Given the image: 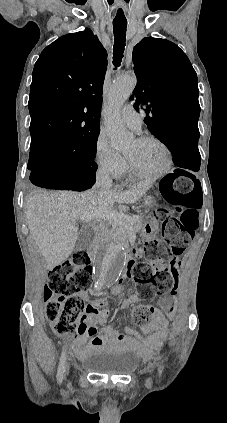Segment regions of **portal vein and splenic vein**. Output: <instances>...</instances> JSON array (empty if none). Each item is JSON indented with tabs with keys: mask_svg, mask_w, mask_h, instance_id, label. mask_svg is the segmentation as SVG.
Returning <instances> with one entry per match:
<instances>
[{
	"mask_svg": "<svg viewBox=\"0 0 227 423\" xmlns=\"http://www.w3.org/2000/svg\"><path fill=\"white\" fill-rule=\"evenodd\" d=\"M94 217H100V219H114V221H119V223H133L135 221L134 217L131 215H125L121 211H98L94 213Z\"/></svg>",
	"mask_w": 227,
	"mask_h": 423,
	"instance_id": "1",
	"label": "portal vein and splenic vein"
}]
</instances>
